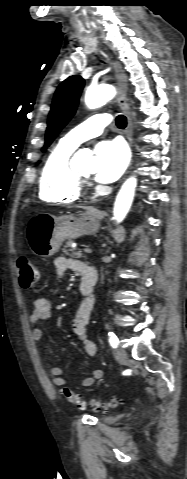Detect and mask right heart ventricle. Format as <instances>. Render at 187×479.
<instances>
[{"label": "right heart ventricle", "mask_w": 187, "mask_h": 479, "mask_svg": "<svg viewBox=\"0 0 187 479\" xmlns=\"http://www.w3.org/2000/svg\"><path fill=\"white\" fill-rule=\"evenodd\" d=\"M75 148L61 141L47 156L39 179V197L49 203H72L81 194L79 176L69 163Z\"/></svg>", "instance_id": "1"}]
</instances>
